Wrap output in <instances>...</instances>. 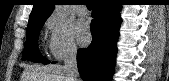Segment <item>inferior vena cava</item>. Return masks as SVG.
Masks as SVG:
<instances>
[{
  "label": "inferior vena cava",
  "mask_w": 169,
  "mask_h": 81,
  "mask_svg": "<svg viewBox=\"0 0 169 81\" xmlns=\"http://www.w3.org/2000/svg\"><path fill=\"white\" fill-rule=\"evenodd\" d=\"M64 70L70 81H79L77 68V47L71 45L67 48L64 60Z\"/></svg>",
  "instance_id": "602c4592"
}]
</instances>
